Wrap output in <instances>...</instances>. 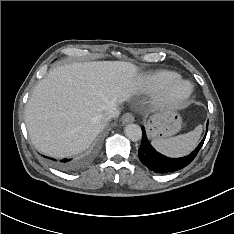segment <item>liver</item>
I'll list each match as a JSON object with an SVG mask.
<instances>
[{
  "label": "liver",
  "instance_id": "obj_1",
  "mask_svg": "<svg viewBox=\"0 0 234 234\" xmlns=\"http://www.w3.org/2000/svg\"><path fill=\"white\" fill-rule=\"evenodd\" d=\"M139 83L137 67L124 61L73 63L52 69L26 104L32 143L53 157L80 153L105 128L100 115L128 100Z\"/></svg>",
  "mask_w": 234,
  "mask_h": 234
}]
</instances>
